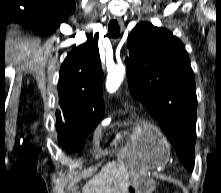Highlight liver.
<instances>
[{"mask_svg": "<svg viewBox=\"0 0 221 193\" xmlns=\"http://www.w3.org/2000/svg\"><path fill=\"white\" fill-rule=\"evenodd\" d=\"M128 186L127 169L122 165L110 163L86 183L83 193H126Z\"/></svg>", "mask_w": 221, "mask_h": 193, "instance_id": "obj_1", "label": "liver"}]
</instances>
